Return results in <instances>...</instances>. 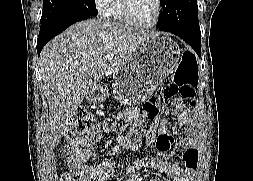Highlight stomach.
Returning <instances> with one entry per match:
<instances>
[{"label": "stomach", "instance_id": "obj_1", "mask_svg": "<svg viewBox=\"0 0 253 181\" xmlns=\"http://www.w3.org/2000/svg\"><path fill=\"white\" fill-rule=\"evenodd\" d=\"M181 50L169 37L145 39L114 75L113 89L124 105L148 98L180 61Z\"/></svg>", "mask_w": 253, "mask_h": 181}]
</instances>
